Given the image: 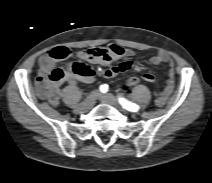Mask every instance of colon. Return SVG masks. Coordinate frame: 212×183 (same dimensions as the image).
<instances>
[{
	"label": "colon",
	"instance_id": "5ec220e1",
	"mask_svg": "<svg viewBox=\"0 0 212 183\" xmlns=\"http://www.w3.org/2000/svg\"><path fill=\"white\" fill-rule=\"evenodd\" d=\"M49 56L55 61H62L68 58L69 50L65 47H56L48 52ZM67 71H71L78 75H85L87 73V66L80 62H72L68 65ZM65 70L60 67H53L49 70H40L39 80L58 83L63 80ZM140 83L139 78L131 77L125 83V89H130Z\"/></svg>",
	"mask_w": 212,
	"mask_h": 183
}]
</instances>
